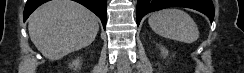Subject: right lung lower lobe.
Returning a JSON list of instances; mask_svg holds the SVG:
<instances>
[{
  "label": "right lung lower lobe",
  "instance_id": "98d812e1",
  "mask_svg": "<svg viewBox=\"0 0 244 73\" xmlns=\"http://www.w3.org/2000/svg\"><path fill=\"white\" fill-rule=\"evenodd\" d=\"M50 1V0H27L25 9H24V15L23 19L26 21V19L29 17V15L41 4ZM76 1L88 9H90L92 12H94L100 19L103 24V27L105 29L106 26V6H107V0H73Z\"/></svg>",
  "mask_w": 244,
  "mask_h": 73
}]
</instances>
